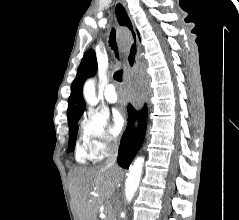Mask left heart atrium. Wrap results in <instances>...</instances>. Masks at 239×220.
I'll return each mask as SVG.
<instances>
[{
  "mask_svg": "<svg viewBox=\"0 0 239 220\" xmlns=\"http://www.w3.org/2000/svg\"><path fill=\"white\" fill-rule=\"evenodd\" d=\"M124 124L125 119L123 115L119 111L115 110L112 116L111 133L115 136L118 135L123 129Z\"/></svg>",
  "mask_w": 239,
  "mask_h": 220,
  "instance_id": "1",
  "label": "left heart atrium"
}]
</instances>
